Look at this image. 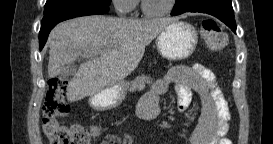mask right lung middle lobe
Masks as SVG:
<instances>
[{"label":"right lung middle lobe","instance_id":"dd1d6c3e","mask_svg":"<svg viewBox=\"0 0 273 144\" xmlns=\"http://www.w3.org/2000/svg\"><path fill=\"white\" fill-rule=\"evenodd\" d=\"M81 1H88V2H100L109 5L111 3V0H47L46 4L44 6V12L49 10L51 7H53L56 4L64 3V2H81Z\"/></svg>","mask_w":273,"mask_h":144}]
</instances>
